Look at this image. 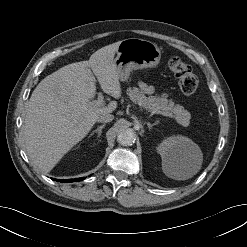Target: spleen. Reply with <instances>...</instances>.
<instances>
[{
	"mask_svg": "<svg viewBox=\"0 0 247 247\" xmlns=\"http://www.w3.org/2000/svg\"><path fill=\"white\" fill-rule=\"evenodd\" d=\"M170 175L172 177L179 178V179H186L190 177L189 175H187L186 173L182 171H171Z\"/></svg>",
	"mask_w": 247,
	"mask_h": 247,
	"instance_id": "obj_1",
	"label": "spleen"
}]
</instances>
